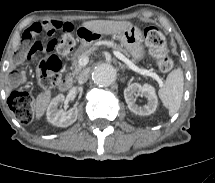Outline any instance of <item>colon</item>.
Segmentation results:
<instances>
[{
  "label": "colon",
  "instance_id": "5ec220e1",
  "mask_svg": "<svg viewBox=\"0 0 215 183\" xmlns=\"http://www.w3.org/2000/svg\"><path fill=\"white\" fill-rule=\"evenodd\" d=\"M36 36L30 40L23 39L20 57L26 59L35 52L45 53L38 64L37 76L44 88H54L61 79V63L55 52L60 54L70 52L74 47V38L70 29L62 30L59 36L50 38L45 43ZM144 39L160 70L163 72L170 71L173 67V60L167 50L163 34L155 27H148L144 31ZM8 103L19 121L28 123L33 119V99L26 90L13 92L8 99Z\"/></svg>",
  "mask_w": 215,
  "mask_h": 183
}]
</instances>
